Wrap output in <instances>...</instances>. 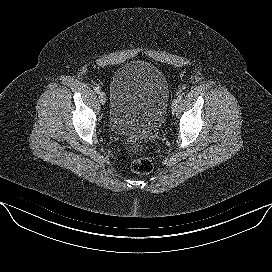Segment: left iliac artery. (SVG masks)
<instances>
[{
    "label": "left iliac artery",
    "instance_id": "44dca946",
    "mask_svg": "<svg viewBox=\"0 0 272 272\" xmlns=\"http://www.w3.org/2000/svg\"><path fill=\"white\" fill-rule=\"evenodd\" d=\"M182 99H183V94H179L178 97H177V100H178L179 102H181Z\"/></svg>",
    "mask_w": 272,
    "mask_h": 272
}]
</instances>
